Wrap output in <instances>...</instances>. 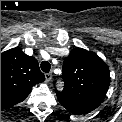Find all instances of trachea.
Listing matches in <instances>:
<instances>
[{
  "mask_svg": "<svg viewBox=\"0 0 122 122\" xmlns=\"http://www.w3.org/2000/svg\"><path fill=\"white\" fill-rule=\"evenodd\" d=\"M51 69V65L48 61H43L41 63V70L45 73H48Z\"/></svg>",
  "mask_w": 122,
  "mask_h": 122,
  "instance_id": "trachea-1",
  "label": "trachea"
}]
</instances>
